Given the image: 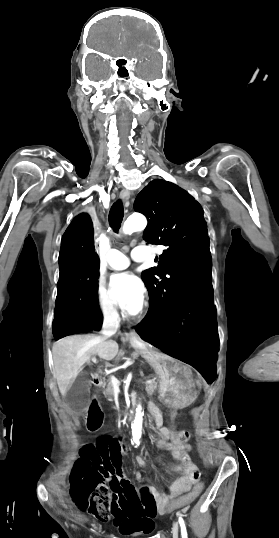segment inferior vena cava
<instances>
[{"label": "inferior vena cava", "instance_id": "inferior-vena-cava-1", "mask_svg": "<svg viewBox=\"0 0 279 538\" xmlns=\"http://www.w3.org/2000/svg\"><path fill=\"white\" fill-rule=\"evenodd\" d=\"M119 315L116 310H106L104 314V323L103 331L104 338H111V335L116 334L117 328L119 326L118 319Z\"/></svg>", "mask_w": 279, "mask_h": 538}]
</instances>
